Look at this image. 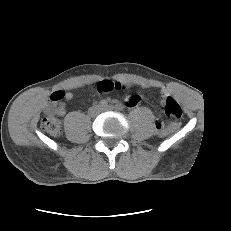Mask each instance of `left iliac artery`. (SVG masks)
<instances>
[{
  "label": "left iliac artery",
  "instance_id": "obj_1",
  "mask_svg": "<svg viewBox=\"0 0 231 231\" xmlns=\"http://www.w3.org/2000/svg\"><path fill=\"white\" fill-rule=\"evenodd\" d=\"M115 108H116L117 110L121 111V110L124 109V105L121 104V103H116Z\"/></svg>",
  "mask_w": 231,
  "mask_h": 231
}]
</instances>
